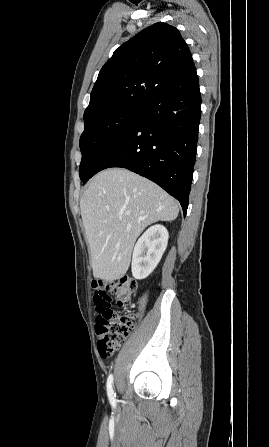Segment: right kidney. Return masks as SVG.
I'll list each match as a JSON object with an SVG mask.
<instances>
[{
  "label": "right kidney",
  "mask_w": 269,
  "mask_h": 447,
  "mask_svg": "<svg viewBox=\"0 0 269 447\" xmlns=\"http://www.w3.org/2000/svg\"><path fill=\"white\" fill-rule=\"evenodd\" d=\"M169 233L164 225L148 227L139 237L132 255V275L144 279L159 263L168 243Z\"/></svg>",
  "instance_id": "1"
}]
</instances>
